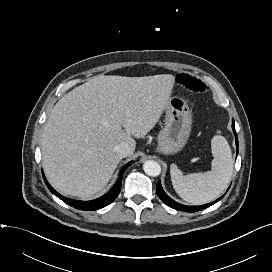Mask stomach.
<instances>
[{
	"instance_id": "stomach-1",
	"label": "stomach",
	"mask_w": 272,
	"mask_h": 272,
	"mask_svg": "<svg viewBox=\"0 0 272 272\" xmlns=\"http://www.w3.org/2000/svg\"><path fill=\"white\" fill-rule=\"evenodd\" d=\"M192 115L187 102L180 97L170 98L165 109V126L157 137L158 151L175 154L187 143L191 132Z\"/></svg>"
}]
</instances>
